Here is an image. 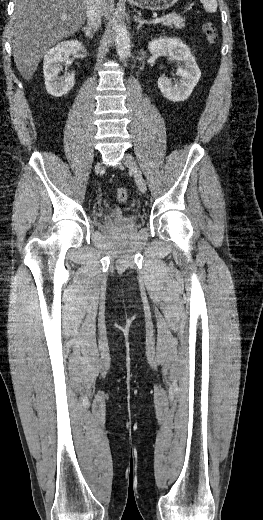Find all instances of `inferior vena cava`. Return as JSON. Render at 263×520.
<instances>
[{"instance_id": "obj_1", "label": "inferior vena cava", "mask_w": 263, "mask_h": 520, "mask_svg": "<svg viewBox=\"0 0 263 520\" xmlns=\"http://www.w3.org/2000/svg\"><path fill=\"white\" fill-rule=\"evenodd\" d=\"M89 30L97 31L101 25L103 0H86Z\"/></svg>"}]
</instances>
